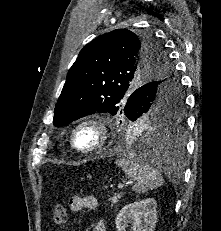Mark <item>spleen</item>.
<instances>
[{"mask_svg":"<svg viewBox=\"0 0 221 231\" xmlns=\"http://www.w3.org/2000/svg\"><path fill=\"white\" fill-rule=\"evenodd\" d=\"M117 166L121 167L125 175L135 182L133 190L136 193H145L163 184V177L155 169L151 161H145L134 155H129L116 161Z\"/></svg>","mask_w":221,"mask_h":231,"instance_id":"obj_1","label":"spleen"}]
</instances>
